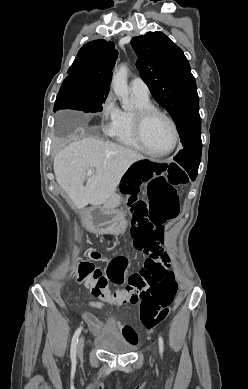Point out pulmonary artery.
I'll return each mask as SVG.
<instances>
[{
	"label": "pulmonary artery",
	"instance_id": "obj_1",
	"mask_svg": "<svg viewBox=\"0 0 248 389\" xmlns=\"http://www.w3.org/2000/svg\"><path fill=\"white\" fill-rule=\"evenodd\" d=\"M130 88L132 93L135 96L141 97V98H149V88L147 84L139 77H135L130 82Z\"/></svg>",
	"mask_w": 248,
	"mask_h": 389
}]
</instances>
